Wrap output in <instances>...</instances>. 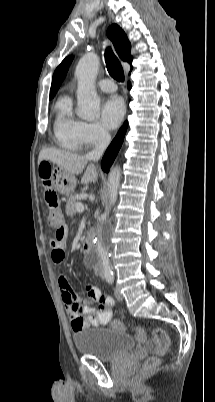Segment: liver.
Segmentation results:
<instances>
[{
	"label": "liver",
	"mask_w": 215,
	"mask_h": 402,
	"mask_svg": "<svg viewBox=\"0 0 215 402\" xmlns=\"http://www.w3.org/2000/svg\"><path fill=\"white\" fill-rule=\"evenodd\" d=\"M44 160L56 164L58 167L62 168L72 175L81 174L88 163V160L84 156L54 148L42 149L39 154L38 163ZM97 177L98 173L95 166L93 164H90L87 166L86 171L82 177V183H95L97 181Z\"/></svg>",
	"instance_id": "6515ba94"
}]
</instances>
